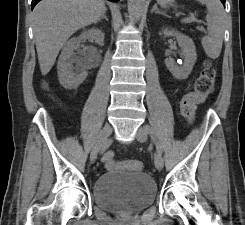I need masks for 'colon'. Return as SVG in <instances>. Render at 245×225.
<instances>
[{"mask_svg":"<svg viewBox=\"0 0 245 225\" xmlns=\"http://www.w3.org/2000/svg\"><path fill=\"white\" fill-rule=\"evenodd\" d=\"M216 80L217 72L210 60L206 59L194 83V88L185 93L181 100V113L188 123L194 120L197 105L212 93ZM102 164L106 169H112L118 165V162L115 160L113 153L106 152L102 158ZM120 164L134 171H141L143 168L142 163L138 160H124Z\"/></svg>","mask_w":245,"mask_h":225,"instance_id":"1","label":"colon"}]
</instances>
